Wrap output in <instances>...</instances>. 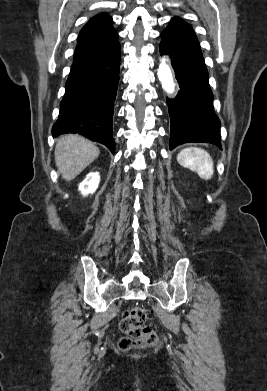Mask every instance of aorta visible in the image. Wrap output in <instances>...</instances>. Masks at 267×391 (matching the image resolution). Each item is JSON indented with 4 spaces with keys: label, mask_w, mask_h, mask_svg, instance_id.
<instances>
[{
    "label": "aorta",
    "mask_w": 267,
    "mask_h": 391,
    "mask_svg": "<svg viewBox=\"0 0 267 391\" xmlns=\"http://www.w3.org/2000/svg\"><path fill=\"white\" fill-rule=\"evenodd\" d=\"M157 75L164 91L168 95H172L175 91V82L166 57L160 59Z\"/></svg>",
    "instance_id": "obj_1"
}]
</instances>
